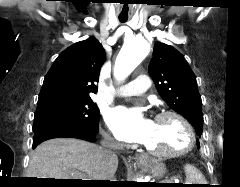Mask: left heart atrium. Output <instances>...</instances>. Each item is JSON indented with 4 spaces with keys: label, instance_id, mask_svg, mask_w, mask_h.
Masks as SVG:
<instances>
[{
    "label": "left heart atrium",
    "instance_id": "39dd6f15",
    "mask_svg": "<svg viewBox=\"0 0 240 187\" xmlns=\"http://www.w3.org/2000/svg\"><path fill=\"white\" fill-rule=\"evenodd\" d=\"M107 122L119 139L140 144H147L150 141L155 125L150 119L136 120L124 108L110 111Z\"/></svg>",
    "mask_w": 240,
    "mask_h": 187
}]
</instances>
